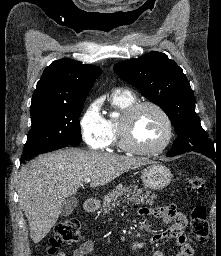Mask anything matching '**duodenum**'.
Returning a JSON list of instances; mask_svg holds the SVG:
<instances>
[{
  "label": "duodenum",
  "mask_w": 221,
  "mask_h": 256,
  "mask_svg": "<svg viewBox=\"0 0 221 256\" xmlns=\"http://www.w3.org/2000/svg\"><path fill=\"white\" fill-rule=\"evenodd\" d=\"M97 209V202L93 199H88L84 202V210L94 212Z\"/></svg>",
  "instance_id": "duodenum-1"
}]
</instances>
